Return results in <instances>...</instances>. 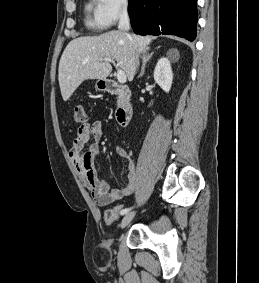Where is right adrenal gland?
Wrapping results in <instances>:
<instances>
[{"mask_svg":"<svg viewBox=\"0 0 259 283\" xmlns=\"http://www.w3.org/2000/svg\"><path fill=\"white\" fill-rule=\"evenodd\" d=\"M153 54H154V51H152L151 53H148V51L143 52V54H142L143 64H142V68H141V73L138 76V78H140L144 75L146 64L151 59Z\"/></svg>","mask_w":259,"mask_h":283,"instance_id":"1","label":"right adrenal gland"}]
</instances>
